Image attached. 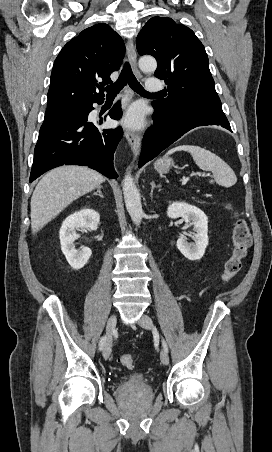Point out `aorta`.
I'll return each mask as SVG.
<instances>
[{"label":"aorta","instance_id":"762f6f07","mask_svg":"<svg viewBox=\"0 0 272 452\" xmlns=\"http://www.w3.org/2000/svg\"><path fill=\"white\" fill-rule=\"evenodd\" d=\"M139 67L144 72H153L157 68V62L151 56H144L139 59ZM123 194L127 211L133 223L139 226L144 212L140 194L130 173H127L123 180Z\"/></svg>","mask_w":272,"mask_h":452}]
</instances>
